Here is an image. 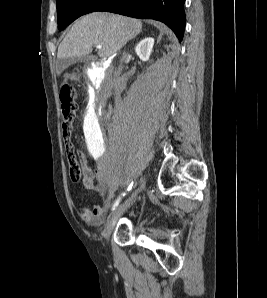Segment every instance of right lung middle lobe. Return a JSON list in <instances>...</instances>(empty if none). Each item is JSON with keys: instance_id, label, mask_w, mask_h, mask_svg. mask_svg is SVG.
Masks as SVG:
<instances>
[{"instance_id": "dd1d6c3e", "label": "right lung middle lobe", "mask_w": 267, "mask_h": 298, "mask_svg": "<svg viewBox=\"0 0 267 298\" xmlns=\"http://www.w3.org/2000/svg\"><path fill=\"white\" fill-rule=\"evenodd\" d=\"M104 0H57L58 28L64 29L78 17L93 12Z\"/></svg>"}]
</instances>
